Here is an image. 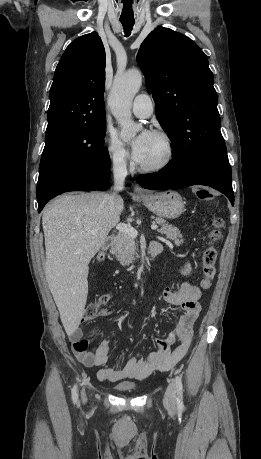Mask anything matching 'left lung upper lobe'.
Masks as SVG:
<instances>
[{
    "label": "left lung upper lobe",
    "mask_w": 261,
    "mask_h": 459,
    "mask_svg": "<svg viewBox=\"0 0 261 459\" xmlns=\"http://www.w3.org/2000/svg\"><path fill=\"white\" fill-rule=\"evenodd\" d=\"M155 113L173 143L171 165L179 170L203 156L226 151L217 93L204 52L187 36L157 27L138 56Z\"/></svg>",
    "instance_id": "obj_1"
}]
</instances>
